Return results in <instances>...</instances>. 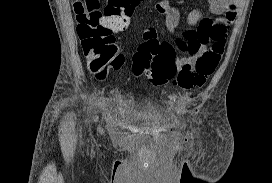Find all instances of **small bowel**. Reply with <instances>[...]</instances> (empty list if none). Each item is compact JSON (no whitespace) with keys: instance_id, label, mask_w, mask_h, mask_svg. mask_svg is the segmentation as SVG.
Masks as SVG:
<instances>
[{"instance_id":"1","label":"small bowel","mask_w":272,"mask_h":183,"mask_svg":"<svg viewBox=\"0 0 272 183\" xmlns=\"http://www.w3.org/2000/svg\"><path fill=\"white\" fill-rule=\"evenodd\" d=\"M208 5L211 13L217 17L216 19L205 17L199 9H192L186 15L188 28L178 41V46L189 55L176 60L179 69L192 66L207 51L211 41L225 39L236 18L239 2L238 0H208ZM155 8L158 13L165 16L167 31L173 32L180 24L179 11L172 7L168 0L158 2ZM142 35L144 42L158 40L157 30L151 26L144 27Z\"/></svg>"}]
</instances>
